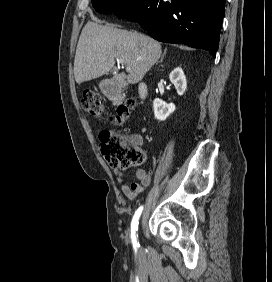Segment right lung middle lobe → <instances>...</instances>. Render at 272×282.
<instances>
[{"mask_svg": "<svg viewBox=\"0 0 272 282\" xmlns=\"http://www.w3.org/2000/svg\"><path fill=\"white\" fill-rule=\"evenodd\" d=\"M140 0H92V5L99 13H115Z\"/></svg>", "mask_w": 272, "mask_h": 282, "instance_id": "obj_1", "label": "right lung middle lobe"}]
</instances>
